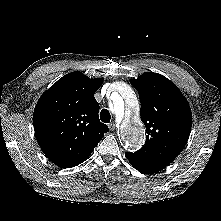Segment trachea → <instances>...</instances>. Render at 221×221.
Returning <instances> with one entry per match:
<instances>
[{
    "label": "trachea",
    "mask_w": 221,
    "mask_h": 221,
    "mask_svg": "<svg viewBox=\"0 0 221 221\" xmlns=\"http://www.w3.org/2000/svg\"><path fill=\"white\" fill-rule=\"evenodd\" d=\"M100 119L104 123H109L111 119L110 112L107 109H102L100 112Z\"/></svg>",
    "instance_id": "3493384b"
}]
</instances>
